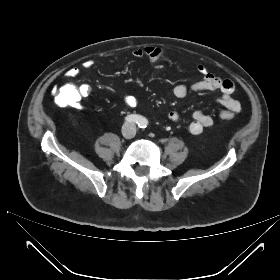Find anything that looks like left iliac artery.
<instances>
[{"instance_id":"44dca946","label":"left iliac artery","mask_w":280,"mask_h":280,"mask_svg":"<svg viewBox=\"0 0 280 280\" xmlns=\"http://www.w3.org/2000/svg\"><path fill=\"white\" fill-rule=\"evenodd\" d=\"M147 124H148L147 120L145 118H142L141 121L138 123V126L140 128H146Z\"/></svg>"}]
</instances>
